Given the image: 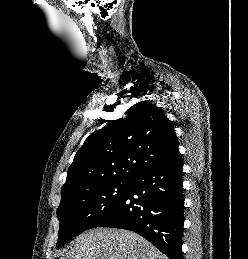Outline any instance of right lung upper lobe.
<instances>
[{"instance_id": "obj_1", "label": "right lung upper lobe", "mask_w": 248, "mask_h": 259, "mask_svg": "<svg viewBox=\"0 0 248 259\" xmlns=\"http://www.w3.org/2000/svg\"><path fill=\"white\" fill-rule=\"evenodd\" d=\"M127 117L92 133L68 169L61 197L71 189L106 181H131L180 156L175 131L159 107L139 102Z\"/></svg>"}]
</instances>
